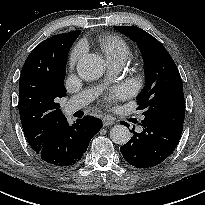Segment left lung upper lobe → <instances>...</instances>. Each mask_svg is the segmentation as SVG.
Returning a JSON list of instances; mask_svg holds the SVG:
<instances>
[{
    "label": "left lung upper lobe",
    "mask_w": 205,
    "mask_h": 205,
    "mask_svg": "<svg viewBox=\"0 0 205 205\" xmlns=\"http://www.w3.org/2000/svg\"><path fill=\"white\" fill-rule=\"evenodd\" d=\"M117 29L138 44L145 61L146 83L137 98V110L147 116L159 111L160 107L184 106L182 79L165 47L136 26H117Z\"/></svg>",
    "instance_id": "5c2ea615"
}]
</instances>
